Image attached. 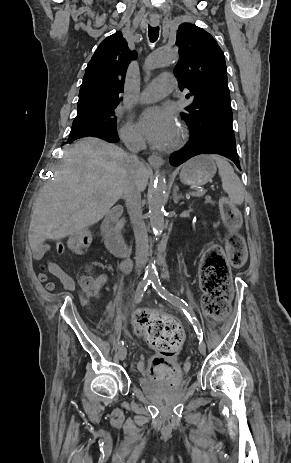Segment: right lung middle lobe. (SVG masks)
<instances>
[{"label": "right lung middle lobe", "mask_w": 291, "mask_h": 463, "mask_svg": "<svg viewBox=\"0 0 291 463\" xmlns=\"http://www.w3.org/2000/svg\"><path fill=\"white\" fill-rule=\"evenodd\" d=\"M116 106H108L93 113L76 117L68 141L99 133H117V117L114 111Z\"/></svg>", "instance_id": "1"}]
</instances>
